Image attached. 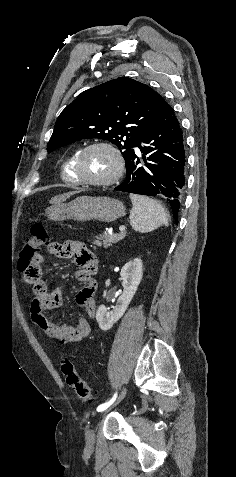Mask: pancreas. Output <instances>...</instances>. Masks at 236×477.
Wrapping results in <instances>:
<instances>
[{"label":"pancreas","instance_id":"1","mask_svg":"<svg viewBox=\"0 0 236 477\" xmlns=\"http://www.w3.org/2000/svg\"><path fill=\"white\" fill-rule=\"evenodd\" d=\"M124 237H125V233H119V234L105 233L101 235L100 237H96L97 240H95L93 244L99 247L103 246V248H108L112 246V244H115L119 242L120 240H122Z\"/></svg>","mask_w":236,"mask_h":477}]
</instances>
